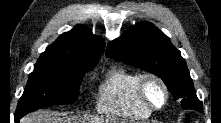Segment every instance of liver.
I'll return each mask as SVG.
<instances>
[{"instance_id": "1", "label": "liver", "mask_w": 221, "mask_h": 123, "mask_svg": "<svg viewBox=\"0 0 221 123\" xmlns=\"http://www.w3.org/2000/svg\"><path fill=\"white\" fill-rule=\"evenodd\" d=\"M102 120L80 118L77 119L72 116L59 117L57 113L51 111H37L24 116L20 123H95Z\"/></svg>"}]
</instances>
